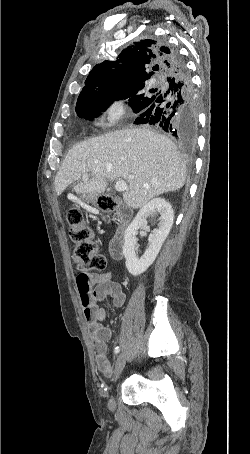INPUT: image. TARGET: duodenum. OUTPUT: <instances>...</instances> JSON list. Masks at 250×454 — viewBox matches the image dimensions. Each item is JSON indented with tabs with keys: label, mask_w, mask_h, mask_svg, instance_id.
<instances>
[{
	"label": "duodenum",
	"mask_w": 250,
	"mask_h": 454,
	"mask_svg": "<svg viewBox=\"0 0 250 454\" xmlns=\"http://www.w3.org/2000/svg\"><path fill=\"white\" fill-rule=\"evenodd\" d=\"M119 217V231L116 236L111 240L110 249L114 259H119L122 256L123 247V229L129 217V213L125 209H120L118 213Z\"/></svg>",
	"instance_id": "duodenum-1"
}]
</instances>
